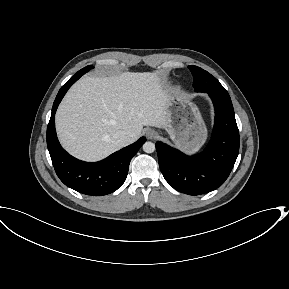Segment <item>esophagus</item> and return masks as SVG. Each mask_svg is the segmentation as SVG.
Masks as SVG:
<instances>
[{
    "mask_svg": "<svg viewBox=\"0 0 289 289\" xmlns=\"http://www.w3.org/2000/svg\"><path fill=\"white\" fill-rule=\"evenodd\" d=\"M146 137L150 140L156 139L158 137V133L154 129H148L146 131Z\"/></svg>",
    "mask_w": 289,
    "mask_h": 289,
    "instance_id": "1",
    "label": "esophagus"
}]
</instances>
